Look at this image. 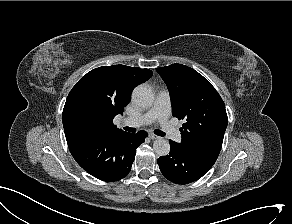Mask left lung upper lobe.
<instances>
[{"label": "left lung upper lobe", "mask_w": 292, "mask_h": 224, "mask_svg": "<svg viewBox=\"0 0 292 224\" xmlns=\"http://www.w3.org/2000/svg\"><path fill=\"white\" fill-rule=\"evenodd\" d=\"M171 96L173 116L184 119L180 146L214 164L228 119L216 89L194 69L182 65L157 68Z\"/></svg>", "instance_id": "1"}]
</instances>
